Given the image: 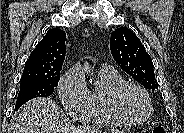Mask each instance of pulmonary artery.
I'll use <instances>...</instances> for the list:
<instances>
[{
  "instance_id": "e3ab8cb5",
  "label": "pulmonary artery",
  "mask_w": 184,
  "mask_h": 133,
  "mask_svg": "<svg viewBox=\"0 0 184 133\" xmlns=\"http://www.w3.org/2000/svg\"><path fill=\"white\" fill-rule=\"evenodd\" d=\"M104 67L113 69V67H111V66H109V65H104Z\"/></svg>"
}]
</instances>
